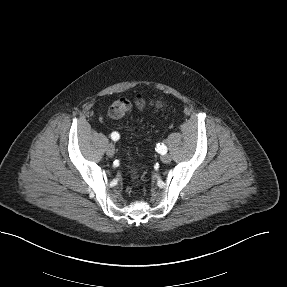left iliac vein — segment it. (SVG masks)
<instances>
[{
  "label": "left iliac vein",
  "mask_w": 287,
  "mask_h": 287,
  "mask_svg": "<svg viewBox=\"0 0 287 287\" xmlns=\"http://www.w3.org/2000/svg\"><path fill=\"white\" fill-rule=\"evenodd\" d=\"M161 160L164 163H169L171 162V156L169 154H164L161 156Z\"/></svg>",
  "instance_id": "1"
}]
</instances>
